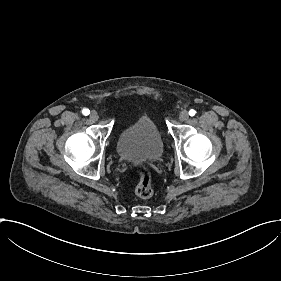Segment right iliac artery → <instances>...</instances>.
Instances as JSON below:
<instances>
[{
    "mask_svg": "<svg viewBox=\"0 0 281 281\" xmlns=\"http://www.w3.org/2000/svg\"><path fill=\"white\" fill-rule=\"evenodd\" d=\"M82 113H83V115L87 116V115L90 114V111H89V109L84 108V109L82 110Z\"/></svg>",
    "mask_w": 281,
    "mask_h": 281,
    "instance_id": "1",
    "label": "right iliac artery"
}]
</instances>
